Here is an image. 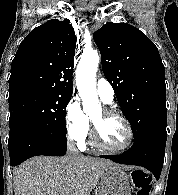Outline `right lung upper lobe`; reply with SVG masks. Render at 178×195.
<instances>
[{
  "mask_svg": "<svg viewBox=\"0 0 178 195\" xmlns=\"http://www.w3.org/2000/svg\"><path fill=\"white\" fill-rule=\"evenodd\" d=\"M76 36L68 20H49L21 42L11 65L9 96L39 90L73 92Z\"/></svg>",
  "mask_w": 178,
  "mask_h": 195,
  "instance_id": "obj_1",
  "label": "right lung upper lobe"
}]
</instances>
